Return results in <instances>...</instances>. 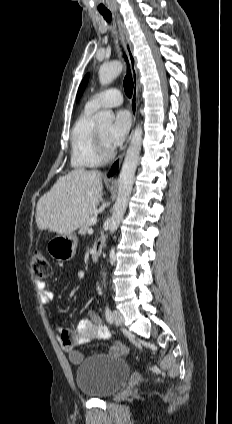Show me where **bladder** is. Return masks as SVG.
<instances>
[{
	"instance_id": "bladder-1",
	"label": "bladder",
	"mask_w": 232,
	"mask_h": 424,
	"mask_svg": "<svg viewBox=\"0 0 232 424\" xmlns=\"http://www.w3.org/2000/svg\"><path fill=\"white\" fill-rule=\"evenodd\" d=\"M130 374L131 370L122 358L95 354L77 367L76 385L84 396L104 399L116 394Z\"/></svg>"
}]
</instances>
